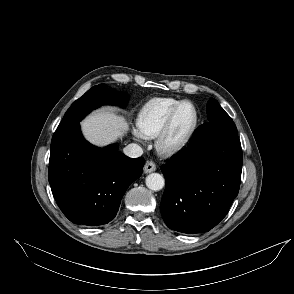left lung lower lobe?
Instances as JSON below:
<instances>
[{
    "label": "left lung lower lobe",
    "instance_id": "0a47b994",
    "mask_svg": "<svg viewBox=\"0 0 294 294\" xmlns=\"http://www.w3.org/2000/svg\"><path fill=\"white\" fill-rule=\"evenodd\" d=\"M243 155L233 121L208 122L188 146L161 167L166 225L183 233L207 232L227 214L240 186Z\"/></svg>",
    "mask_w": 294,
    "mask_h": 294
}]
</instances>
